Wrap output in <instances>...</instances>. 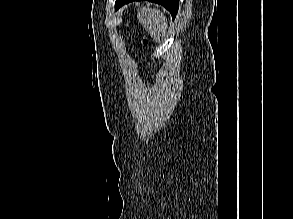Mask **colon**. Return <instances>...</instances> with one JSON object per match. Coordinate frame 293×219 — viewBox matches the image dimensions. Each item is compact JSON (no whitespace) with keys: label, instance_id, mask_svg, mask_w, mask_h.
<instances>
[{"label":"colon","instance_id":"5ec220e1","mask_svg":"<svg viewBox=\"0 0 293 219\" xmlns=\"http://www.w3.org/2000/svg\"><path fill=\"white\" fill-rule=\"evenodd\" d=\"M142 44L144 45V46H147L148 45V40L147 39H142Z\"/></svg>","mask_w":293,"mask_h":219}]
</instances>
